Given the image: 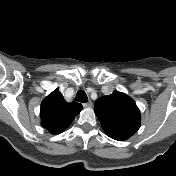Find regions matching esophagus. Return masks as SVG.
<instances>
[{
  "mask_svg": "<svg viewBox=\"0 0 176 176\" xmlns=\"http://www.w3.org/2000/svg\"><path fill=\"white\" fill-rule=\"evenodd\" d=\"M92 102L91 101H88L87 103H84L83 104V106L85 107V108H91L92 107Z\"/></svg>",
  "mask_w": 176,
  "mask_h": 176,
  "instance_id": "obj_1",
  "label": "esophagus"
}]
</instances>
